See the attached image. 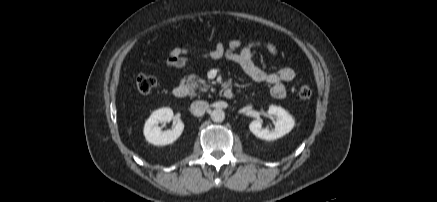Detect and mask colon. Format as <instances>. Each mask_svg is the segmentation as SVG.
Listing matches in <instances>:
<instances>
[{
  "instance_id": "obj_1",
  "label": "colon",
  "mask_w": 437,
  "mask_h": 202,
  "mask_svg": "<svg viewBox=\"0 0 437 202\" xmlns=\"http://www.w3.org/2000/svg\"><path fill=\"white\" fill-rule=\"evenodd\" d=\"M156 86V79L151 75L140 74L136 77V88L141 94H148ZM301 99L307 100L312 96V89L303 85L299 89Z\"/></svg>"
}]
</instances>
